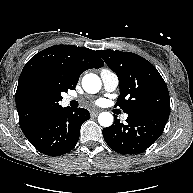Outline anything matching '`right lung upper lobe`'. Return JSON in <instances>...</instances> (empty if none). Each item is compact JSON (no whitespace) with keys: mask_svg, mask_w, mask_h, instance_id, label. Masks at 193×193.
<instances>
[{"mask_svg":"<svg viewBox=\"0 0 193 193\" xmlns=\"http://www.w3.org/2000/svg\"><path fill=\"white\" fill-rule=\"evenodd\" d=\"M103 65L94 50L73 45L51 46L34 55L24 66L16 91L22 131L61 109V92L75 88L85 70Z\"/></svg>","mask_w":193,"mask_h":193,"instance_id":"cb5924a9","label":"right lung upper lobe"}]
</instances>
